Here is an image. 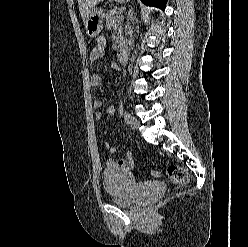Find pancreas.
Segmentation results:
<instances>
[{"instance_id":"cf45deb5","label":"pancreas","mask_w":248,"mask_h":247,"mask_svg":"<svg viewBox=\"0 0 248 247\" xmlns=\"http://www.w3.org/2000/svg\"><path fill=\"white\" fill-rule=\"evenodd\" d=\"M120 9H112L106 13V25L109 29H116V27L121 22V17L119 16Z\"/></svg>"}]
</instances>
